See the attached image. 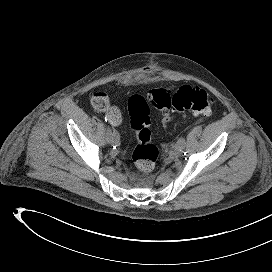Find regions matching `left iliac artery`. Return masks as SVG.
Returning <instances> with one entry per match:
<instances>
[{"instance_id":"44dca946","label":"left iliac artery","mask_w":272,"mask_h":272,"mask_svg":"<svg viewBox=\"0 0 272 272\" xmlns=\"http://www.w3.org/2000/svg\"><path fill=\"white\" fill-rule=\"evenodd\" d=\"M186 142L184 137H180L177 141V145L179 146L180 150L184 148Z\"/></svg>"}]
</instances>
